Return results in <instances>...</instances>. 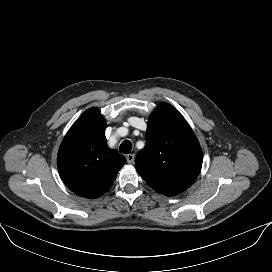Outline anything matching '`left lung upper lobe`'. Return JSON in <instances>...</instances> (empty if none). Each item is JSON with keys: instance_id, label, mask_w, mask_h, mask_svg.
<instances>
[{"instance_id": "5c2ea615", "label": "left lung upper lobe", "mask_w": 272, "mask_h": 272, "mask_svg": "<svg viewBox=\"0 0 272 272\" xmlns=\"http://www.w3.org/2000/svg\"><path fill=\"white\" fill-rule=\"evenodd\" d=\"M145 148L136 156V170L165 196H175L197 179L203 162L200 144L183 116L170 104L151 114Z\"/></svg>"}]
</instances>
